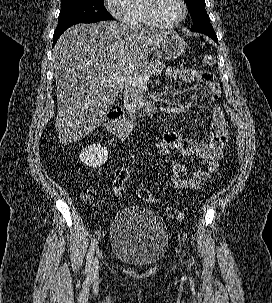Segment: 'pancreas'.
I'll list each match as a JSON object with an SVG mask.
<instances>
[{
    "instance_id": "pancreas-1",
    "label": "pancreas",
    "mask_w": 272,
    "mask_h": 303,
    "mask_svg": "<svg viewBox=\"0 0 272 303\" xmlns=\"http://www.w3.org/2000/svg\"><path fill=\"white\" fill-rule=\"evenodd\" d=\"M164 65L159 61L155 60L149 63L146 67H144L140 72H138L137 76H145V75H154L158 76L162 73L164 69ZM144 95L140 86H125L124 90V99L127 103L131 102L133 106L139 105V103L143 100Z\"/></svg>"
}]
</instances>
